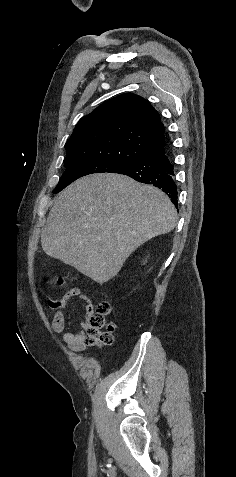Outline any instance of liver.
Returning a JSON list of instances; mask_svg holds the SVG:
<instances>
[{"label": "liver", "mask_w": 236, "mask_h": 477, "mask_svg": "<svg viewBox=\"0 0 236 477\" xmlns=\"http://www.w3.org/2000/svg\"><path fill=\"white\" fill-rule=\"evenodd\" d=\"M177 211L152 185L120 174L78 179L56 199L41 232L44 252L99 284L148 240L173 230Z\"/></svg>", "instance_id": "6515ba94"}]
</instances>
